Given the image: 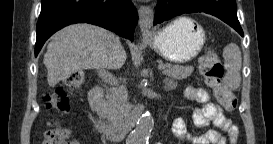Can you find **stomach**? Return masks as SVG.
<instances>
[{"instance_id": "0dacf381", "label": "stomach", "mask_w": 273, "mask_h": 144, "mask_svg": "<svg viewBox=\"0 0 273 144\" xmlns=\"http://www.w3.org/2000/svg\"><path fill=\"white\" fill-rule=\"evenodd\" d=\"M146 42L167 61L186 63L200 53L205 31L191 18L182 16L146 38Z\"/></svg>"}]
</instances>
